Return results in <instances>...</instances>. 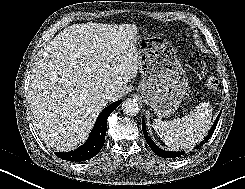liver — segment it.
<instances>
[{
    "mask_svg": "<svg viewBox=\"0 0 245 189\" xmlns=\"http://www.w3.org/2000/svg\"><path fill=\"white\" fill-rule=\"evenodd\" d=\"M134 24H73L39 53L28 98L40 139L57 151L83 142L108 100L121 98L136 77L138 57Z\"/></svg>",
    "mask_w": 245,
    "mask_h": 189,
    "instance_id": "liver-1",
    "label": "liver"
}]
</instances>
